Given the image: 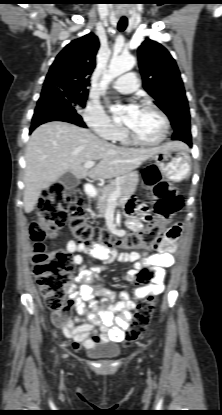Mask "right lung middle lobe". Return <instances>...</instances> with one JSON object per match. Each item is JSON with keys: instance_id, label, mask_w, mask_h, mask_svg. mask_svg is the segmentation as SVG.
<instances>
[{"instance_id": "1", "label": "right lung middle lobe", "mask_w": 222, "mask_h": 415, "mask_svg": "<svg viewBox=\"0 0 222 415\" xmlns=\"http://www.w3.org/2000/svg\"><path fill=\"white\" fill-rule=\"evenodd\" d=\"M57 93L67 100L72 107H85L88 93H79L71 89H60L57 90ZM43 98V93L41 94L40 99Z\"/></svg>"}]
</instances>
